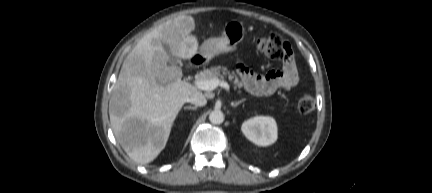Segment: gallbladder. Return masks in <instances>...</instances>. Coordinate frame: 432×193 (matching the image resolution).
<instances>
[{
    "label": "gallbladder",
    "instance_id": "bac80fb5",
    "mask_svg": "<svg viewBox=\"0 0 432 193\" xmlns=\"http://www.w3.org/2000/svg\"><path fill=\"white\" fill-rule=\"evenodd\" d=\"M163 46H164L165 51L169 55V60H168L169 64H171V65H177V64H179L180 63V59L178 57L174 56L170 52L169 46L166 45V44H164Z\"/></svg>",
    "mask_w": 432,
    "mask_h": 193
}]
</instances>
